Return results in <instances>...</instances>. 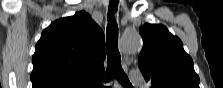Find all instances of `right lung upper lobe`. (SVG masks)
I'll return each mask as SVG.
<instances>
[{
    "mask_svg": "<svg viewBox=\"0 0 223 88\" xmlns=\"http://www.w3.org/2000/svg\"><path fill=\"white\" fill-rule=\"evenodd\" d=\"M105 37L84 11L46 28L32 57V88H98L104 73Z\"/></svg>",
    "mask_w": 223,
    "mask_h": 88,
    "instance_id": "1",
    "label": "right lung upper lobe"
}]
</instances>
